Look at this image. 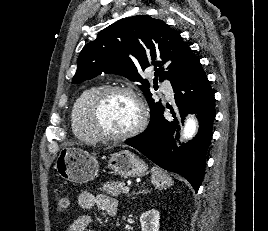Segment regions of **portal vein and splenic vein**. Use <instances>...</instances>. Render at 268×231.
I'll return each mask as SVG.
<instances>
[{
  "mask_svg": "<svg viewBox=\"0 0 268 231\" xmlns=\"http://www.w3.org/2000/svg\"><path fill=\"white\" fill-rule=\"evenodd\" d=\"M128 192H129V187L125 186V187L123 188V193H128Z\"/></svg>",
  "mask_w": 268,
  "mask_h": 231,
  "instance_id": "1",
  "label": "portal vein and splenic vein"
}]
</instances>
